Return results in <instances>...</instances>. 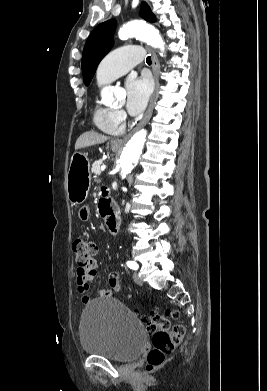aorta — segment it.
Listing matches in <instances>:
<instances>
[{
	"label": "aorta",
	"mask_w": 267,
	"mask_h": 391,
	"mask_svg": "<svg viewBox=\"0 0 267 391\" xmlns=\"http://www.w3.org/2000/svg\"><path fill=\"white\" fill-rule=\"evenodd\" d=\"M118 36L122 40L131 37H136L145 41L148 45L158 48L164 52L165 42L159 34V31L151 25L142 21H131L124 24L118 31ZM116 97V90L114 87L107 86L101 91V98L103 101H112ZM147 132L140 130L135 133L125 148L122 150L119 157V176L125 179L137 164L139 157L146 141Z\"/></svg>",
	"instance_id": "1"
}]
</instances>
